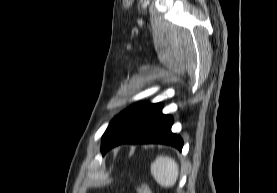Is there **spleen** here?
I'll return each instance as SVG.
<instances>
[{
    "mask_svg": "<svg viewBox=\"0 0 277 193\" xmlns=\"http://www.w3.org/2000/svg\"><path fill=\"white\" fill-rule=\"evenodd\" d=\"M151 173L160 186L169 188L177 181L179 166L171 157L158 156L151 164Z\"/></svg>",
    "mask_w": 277,
    "mask_h": 193,
    "instance_id": "1",
    "label": "spleen"
}]
</instances>
